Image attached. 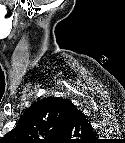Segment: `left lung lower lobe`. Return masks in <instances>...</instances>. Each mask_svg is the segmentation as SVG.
<instances>
[{
	"label": "left lung lower lobe",
	"mask_w": 125,
	"mask_h": 143,
	"mask_svg": "<svg viewBox=\"0 0 125 143\" xmlns=\"http://www.w3.org/2000/svg\"><path fill=\"white\" fill-rule=\"evenodd\" d=\"M83 117V114L81 111L77 110L75 106L69 102L67 104V113H66V120H67V125H72V123L77 119Z\"/></svg>",
	"instance_id": "left-lung-lower-lobe-1"
}]
</instances>
